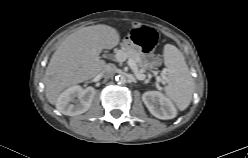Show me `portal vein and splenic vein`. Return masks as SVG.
<instances>
[{
  "instance_id": "obj_1",
  "label": "portal vein and splenic vein",
  "mask_w": 248,
  "mask_h": 158,
  "mask_svg": "<svg viewBox=\"0 0 248 158\" xmlns=\"http://www.w3.org/2000/svg\"><path fill=\"white\" fill-rule=\"evenodd\" d=\"M115 56H116V59L118 61H121V62H123V61H125L127 59L126 54L123 51H121V50H118L116 52V55ZM127 63L129 65V67L132 69V71L134 72V74L136 75L137 79H139V80H144L145 79V75L139 73L137 64H136V62L133 59H130L129 58L128 61H127ZM156 80L158 82H160L162 79H161V77L158 76L156 78Z\"/></svg>"
}]
</instances>
